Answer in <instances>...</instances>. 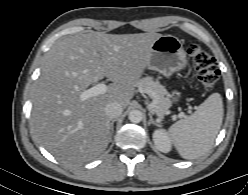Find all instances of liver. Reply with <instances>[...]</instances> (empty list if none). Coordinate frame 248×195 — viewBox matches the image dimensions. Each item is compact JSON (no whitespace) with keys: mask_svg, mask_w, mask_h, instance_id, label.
I'll return each mask as SVG.
<instances>
[{"mask_svg":"<svg viewBox=\"0 0 248 195\" xmlns=\"http://www.w3.org/2000/svg\"><path fill=\"white\" fill-rule=\"evenodd\" d=\"M159 33L77 34L57 41L45 55L33 96L32 129L41 144L61 163L95 159L111 137L105 106L126 108L147 67ZM107 77L104 94L80 99L91 84Z\"/></svg>","mask_w":248,"mask_h":195,"instance_id":"6515ba94","label":"liver"}]
</instances>
